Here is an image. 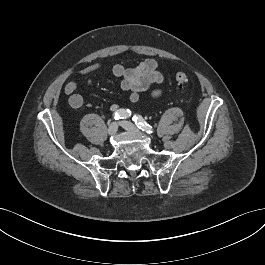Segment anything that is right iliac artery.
<instances>
[{
  "mask_svg": "<svg viewBox=\"0 0 265 265\" xmlns=\"http://www.w3.org/2000/svg\"><path fill=\"white\" fill-rule=\"evenodd\" d=\"M131 115V111L129 109H119L113 114V118L115 120L126 119Z\"/></svg>",
  "mask_w": 265,
  "mask_h": 265,
  "instance_id": "82829eb1",
  "label": "right iliac artery"
}]
</instances>
